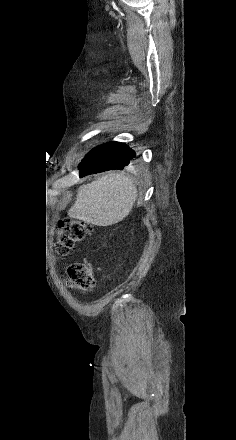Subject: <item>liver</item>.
<instances>
[{"label":"liver","mask_w":236,"mask_h":440,"mask_svg":"<svg viewBox=\"0 0 236 440\" xmlns=\"http://www.w3.org/2000/svg\"><path fill=\"white\" fill-rule=\"evenodd\" d=\"M136 199L134 182L124 173L110 172L79 187L68 215L88 224L111 226L129 215Z\"/></svg>","instance_id":"obj_1"}]
</instances>
